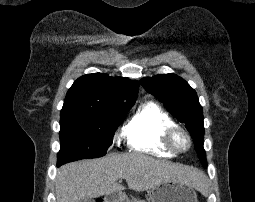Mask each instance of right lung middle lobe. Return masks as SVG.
<instances>
[{"mask_svg": "<svg viewBox=\"0 0 255 202\" xmlns=\"http://www.w3.org/2000/svg\"><path fill=\"white\" fill-rule=\"evenodd\" d=\"M131 107L61 116L57 165L105 155L116 128Z\"/></svg>", "mask_w": 255, "mask_h": 202, "instance_id": "obj_1", "label": "right lung middle lobe"}]
</instances>
